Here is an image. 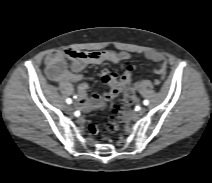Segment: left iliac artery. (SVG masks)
<instances>
[{
  "label": "left iliac artery",
  "mask_w": 212,
  "mask_h": 183,
  "mask_svg": "<svg viewBox=\"0 0 212 183\" xmlns=\"http://www.w3.org/2000/svg\"><path fill=\"white\" fill-rule=\"evenodd\" d=\"M143 104L147 106L149 104V101L148 100H144Z\"/></svg>",
  "instance_id": "1"
}]
</instances>
